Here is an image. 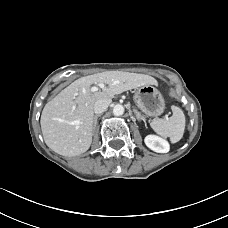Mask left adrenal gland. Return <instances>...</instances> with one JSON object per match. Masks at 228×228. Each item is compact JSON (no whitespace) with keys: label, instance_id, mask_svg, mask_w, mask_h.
Returning a JSON list of instances; mask_svg holds the SVG:
<instances>
[{"label":"left adrenal gland","instance_id":"1","mask_svg":"<svg viewBox=\"0 0 228 228\" xmlns=\"http://www.w3.org/2000/svg\"><path fill=\"white\" fill-rule=\"evenodd\" d=\"M134 113L136 114L138 121L143 120L146 123V119L138 111L134 110Z\"/></svg>","mask_w":228,"mask_h":228}]
</instances>
